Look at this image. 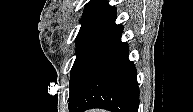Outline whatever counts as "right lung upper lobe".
Returning a JSON list of instances; mask_svg holds the SVG:
<instances>
[{
	"mask_svg": "<svg viewBox=\"0 0 193 112\" xmlns=\"http://www.w3.org/2000/svg\"><path fill=\"white\" fill-rule=\"evenodd\" d=\"M115 19L116 8L114 6H110L106 0H91L86 5L80 20L81 29H97L119 33L123 30V26L117 25Z\"/></svg>",
	"mask_w": 193,
	"mask_h": 112,
	"instance_id": "right-lung-upper-lobe-1",
	"label": "right lung upper lobe"
}]
</instances>
